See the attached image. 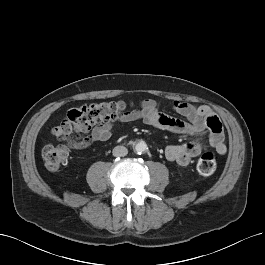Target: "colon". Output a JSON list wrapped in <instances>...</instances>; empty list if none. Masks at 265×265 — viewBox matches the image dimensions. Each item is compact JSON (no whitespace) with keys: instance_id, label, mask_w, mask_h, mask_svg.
<instances>
[{"instance_id":"5ec220e1","label":"colon","mask_w":265,"mask_h":265,"mask_svg":"<svg viewBox=\"0 0 265 265\" xmlns=\"http://www.w3.org/2000/svg\"><path fill=\"white\" fill-rule=\"evenodd\" d=\"M127 113L124 102H97L83 104L70 109L51 134L67 145L73 142L83 143L91 127L100 122H116ZM209 128L215 135L221 133V123L215 116L208 120ZM44 164L49 170H58L68 160L69 149L65 145H46L42 150ZM217 167L216 157L212 152L202 154L197 161V169L203 176L212 175Z\"/></svg>"}]
</instances>
